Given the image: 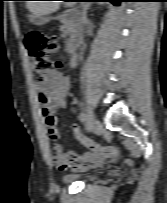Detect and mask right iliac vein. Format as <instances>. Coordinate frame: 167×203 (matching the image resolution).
I'll use <instances>...</instances> for the list:
<instances>
[{"instance_id": "63e3f726", "label": "right iliac vein", "mask_w": 167, "mask_h": 203, "mask_svg": "<svg viewBox=\"0 0 167 203\" xmlns=\"http://www.w3.org/2000/svg\"><path fill=\"white\" fill-rule=\"evenodd\" d=\"M87 131L91 132L97 124V119L89 104L86 102Z\"/></svg>"}]
</instances>
